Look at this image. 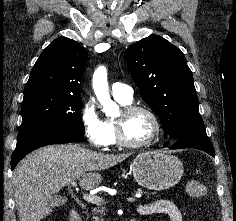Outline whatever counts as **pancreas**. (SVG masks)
Instances as JSON below:
<instances>
[{
	"label": "pancreas",
	"mask_w": 236,
	"mask_h": 221,
	"mask_svg": "<svg viewBox=\"0 0 236 221\" xmlns=\"http://www.w3.org/2000/svg\"><path fill=\"white\" fill-rule=\"evenodd\" d=\"M139 193H142V189H138ZM103 212H104V208L102 207H95L92 209V214H93V221H103Z\"/></svg>",
	"instance_id": "1"
}]
</instances>
